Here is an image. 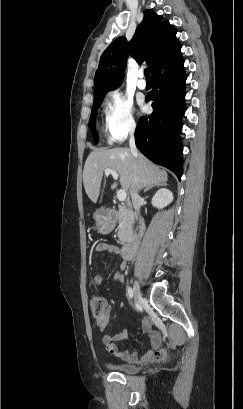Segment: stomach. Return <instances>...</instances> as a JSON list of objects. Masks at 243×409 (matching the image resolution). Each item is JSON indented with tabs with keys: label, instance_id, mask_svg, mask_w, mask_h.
Here are the masks:
<instances>
[{
	"label": "stomach",
	"instance_id": "stomach-1",
	"mask_svg": "<svg viewBox=\"0 0 243 409\" xmlns=\"http://www.w3.org/2000/svg\"><path fill=\"white\" fill-rule=\"evenodd\" d=\"M93 218L95 220L94 228L97 230V232L101 234H108L113 230L114 222L109 217L105 209L102 208V209L97 210L94 213Z\"/></svg>",
	"mask_w": 243,
	"mask_h": 409
}]
</instances>
